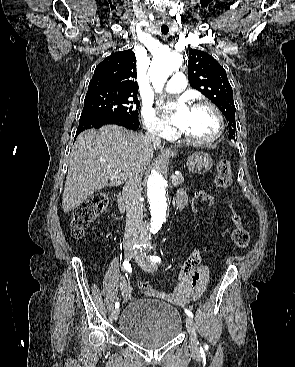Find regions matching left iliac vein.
Returning a JSON list of instances; mask_svg holds the SVG:
<instances>
[{"mask_svg":"<svg viewBox=\"0 0 295 367\" xmlns=\"http://www.w3.org/2000/svg\"><path fill=\"white\" fill-rule=\"evenodd\" d=\"M134 259L145 271L154 272L157 270V265L141 257L138 253L134 254ZM186 326L189 333V347L193 354L199 353V343L197 340L194 321L191 317H186Z\"/></svg>","mask_w":295,"mask_h":367,"instance_id":"4c4485c4","label":"left iliac vein"}]
</instances>
